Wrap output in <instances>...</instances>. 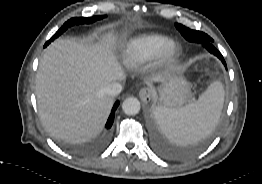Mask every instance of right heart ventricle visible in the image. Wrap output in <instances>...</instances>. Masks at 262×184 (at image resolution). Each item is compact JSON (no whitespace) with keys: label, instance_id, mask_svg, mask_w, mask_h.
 <instances>
[{"label":"right heart ventricle","instance_id":"right-heart-ventricle-1","mask_svg":"<svg viewBox=\"0 0 262 184\" xmlns=\"http://www.w3.org/2000/svg\"><path fill=\"white\" fill-rule=\"evenodd\" d=\"M171 39L163 34H145L130 40L123 51L127 66L136 67L162 54Z\"/></svg>","mask_w":262,"mask_h":184}]
</instances>
